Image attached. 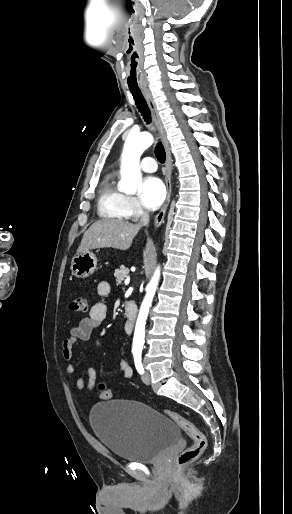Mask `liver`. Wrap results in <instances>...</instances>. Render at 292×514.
Instances as JSON below:
<instances>
[{
  "label": "liver",
  "mask_w": 292,
  "mask_h": 514,
  "mask_svg": "<svg viewBox=\"0 0 292 514\" xmlns=\"http://www.w3.org/2000/svg\"><path fill=\"white\" fill-rule=\"evenodd\" d=\"M141 226L142 224H129L124 220H98L86 230L77 252L81 254L96 248L128 250Z\"/></svg>",
  "instance_id": "1"
}]
</instances>
